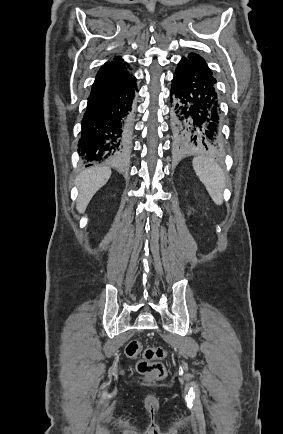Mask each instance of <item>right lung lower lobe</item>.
Here are the masks:
<instances>
[{
  "instance_id": "98d812e1",
  "label": "right lung lower lobe",
  "mask_w": 283,
  "mask_h": 434,
  "mask_svg": "<svg viewBox=\"0 0 283 434\" xmlns=\"http://www.w3.org/2000/svg\"><path fill=\"white\" fill-rule=\"evenodd\" d=\"M136 88L132 76L125 83L91 93L82 119L78 151L87 166L94 162H118L129 150L131 105Z\"/></svg>"
}]
</instances>
